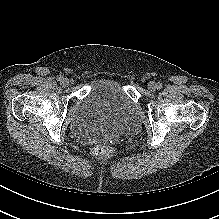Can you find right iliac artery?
I'll use <instances>...</instances> for the list:
<instances>
[{"label": "right iliac artery", "instance_id": "82829eb1", "mask_svg": "<svg viewBox=\"0 0 219 219\" xmlns=\"http://www.w3.org/2000/svg\"><path fill=\"white\" fill-rule=\"evenodd\" d=\"M64 78L62 76L57 77V81L62 82Z\"/></svg>", "mask_w": 219, "mask_h": 219}]
</instances>
